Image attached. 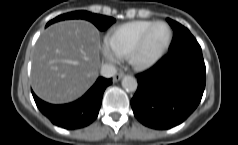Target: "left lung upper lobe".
Wrapping results in <instances>:
<instances>
[{
  "mask_svg": "<svg viewBox=\"0 0 238 145\" xmlns=\"http://www.w3.org/2000/svg\"><path fill=\"white\" fill-rule=\"evenodd\" d=\"M168 20H169V19H167V21H168ZM191 38H194L193 35L191 36ZM173 40H174V39H173ZM172 44H173V42H172ZM172 44H171V45H172Z\"/></svg>",
  "mask_w": 238,
  "mask_h": 145,
  "instance_id": "left-lung-upper-lobe-1",
  "label": "left lung upper lobe"
}]
</instances>
